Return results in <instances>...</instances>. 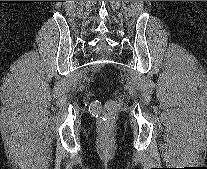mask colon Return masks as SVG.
Masks as SVG:
<instances>
[{
    "label": "colon",
    "mask_w": 207,
    "mask_h": 169,
    "mask_svg": "<svg viewBox=\"0 0 207 169\" xmlns=\"http://www.w3.org/2000/svg\"><path fill=\"white\" fill-rule=\"evenodd\" d=\"M119 101L117 100H111L109 102H107L104 106V113L107 115V116H111L113 115L114 113L117 112V110L119 109Z\"/></svg>",
    "instance_id": "1"
}]
</instances>
